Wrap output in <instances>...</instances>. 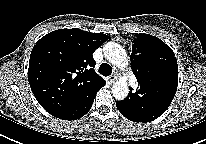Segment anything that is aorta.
<instances>
[{
    "mask_svg": "<svg viewBox=\"0 0 206 144\" xmlns=\"http://www.w3.org/2000/svg\"><path fill=\"white\" fill-rule=\"evenodd\" d=\"M103 53L106 59L117 67H125L128 64L126 53L118 43H106ZM111 90L116 100H124L129 93L128 85L124 80L115 82Z\"/></svg>",
    "mask_w": 206,
    "mask_h": 144,
    "instance_id": "762f6f07",
    "label": "aorta"
}]
</instances>
